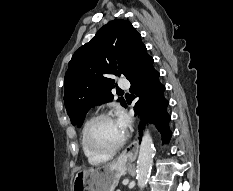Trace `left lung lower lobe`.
<instances>
[{
  "instance_id": "0a47b994",
  "label": "left lung lower lobe",
  "mask_w": 233,
  "mask_h": 191,
  "mask_svg": "<svg viewBox=\"0 0 233 191\" xmlns=\"http://www.w3.org/2000/svg\"><path fill=\"white\" fill-rule=\"evenodd\" d=\"M159 72L153 68V58L149 55L140 63L135 72L128 79L131 83L130 92L139 97L135 105L138 114L145 117V121H153L162 135V140L169 142L170 116L167 113L169 102L164 98L165 86L159 82Z\"/></svg>"
}]
</instances>
